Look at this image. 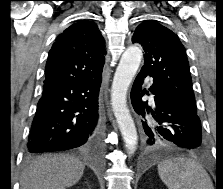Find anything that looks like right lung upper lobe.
Here are the masks:
<instances>
[{
    "instance_id": "right-lung-upper-lobe-1",
    "label": "right lung upper lobe",
    "mask_w": 223,
    "mask_h": 189,
    "mask_svg": "<svg viewBox=\"0 0 223 189\" xmlns=\"http://www.w3.org/2000/svg\"><path fill=\"white\" fill-rule=\"evenodd\" d=\"M105 41L91 21H79L60 34L48 55L44 84L84 80L102 74Z\"/></svg>"
}]
</instances>
